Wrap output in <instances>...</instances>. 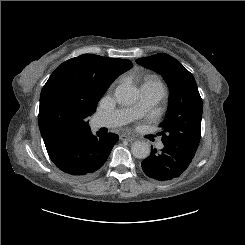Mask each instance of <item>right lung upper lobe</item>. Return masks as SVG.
Segmentation results:
<instances>
[{"mask_svg":"<svg viewBox=\"0 0 245 245\" xmlns=\"http://www.w3.org/2000/svg\"><path fill=\"white\" fill-rule=\"evenodd\" d=\"M131 67L129 60L93 54L80 55L57 67L41 91L38 116L51 160L90 132L88 116L116 77Z\"/></svg>","mask_w":245,"mask_h":245,"instance_id":"1","label":"right lung upper lobe"}]
</instances>
